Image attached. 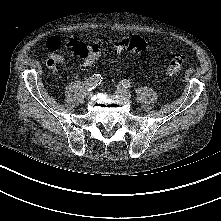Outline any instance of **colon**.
I'll use <instances>...</instances> for the list:
<instances>
[{"mask_svg":"<svg viewBox=\"0 0 221 221\" xmlns=\"http://www.w3.org/2000/svg\"><path fill=\"white\" fill-rule=\"evenodd\" d=\"M104 45L105 43L103 41H99L81 50L80 57L83 60V64L88 66L96 62L104 53ZM112 46L117 53L126 51L140 54L149 48L147 42L139 36L116 40L112 43ZM183 63L184 57L179 54L175 55L167 65L166 74L170 77L178 75L183 67Z\"/></svg>","mask_w":221,"mask_h":221,"instance_id":"obj_1","label":"colon"}]
</instances>
